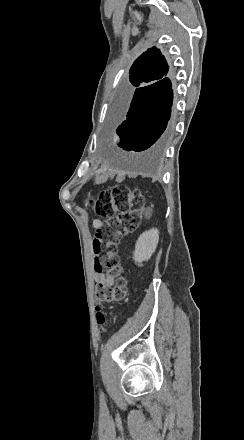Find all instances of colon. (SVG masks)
Wrapping results in <instances>:
<instances>
[{
    "instance_id": "colon-1",
    "label": "colon",
    "mask_w": 244,
    "mask_h": 440,
    "mask_svg": "<svg viewBox=\"0 0 244 440\" xmlns=\"http://www.w3.org/2000/svg\"><path fill=\"white\" fill-rule=\"evenodd\" d=\"M97 214L105 219L97 227L92 241L95 268L108 277L116 279L114 286L98 285L95 288V318L104 330L106 317L102 303L122 302L127 295L124 269L118 255L121 238L133 233L140 226L143 216V198L138 191L125 195L120 189L100 191L96 197Z\"/></svg>"
}]
</instances>
